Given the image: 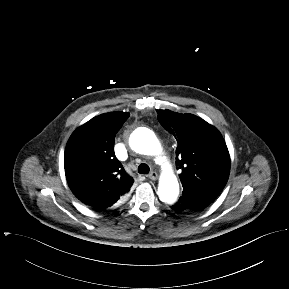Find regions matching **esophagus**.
Here are the masks:
<instances>
[{
  "label": "esophagus",
  "mask_w": 289,
  "mask_h": 289,
  "mask_svg": "<svg viewBox=\"0 0 289 289\" xmlns=\"http://www.w3.org/2000/svg\"><path fill=\"white\" fill-rule=\"evenodd\" d=\"M148 178L151 180H156L158 178V174L153 171L148 175Z\"/></svg>",
  "instance_id": "esophagus-1"
}]
</instances>
